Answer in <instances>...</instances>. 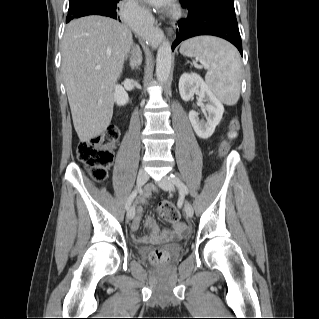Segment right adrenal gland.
<instances>
[{
  "mask_svg": "<svg viewBox=\"0 0 319 319\" xmlns=\"http://www.w3.org/2000/svg\"><path fill=\"white\" fill-rule=\"evenodd\" d=\"M139 52H140L139 47L138 46L134 47L132 45V49L129 54V65L132 70H134L135 68H138V66L141 64V57L139 55Z\"/></svg>",
  "mask_w": 319,
  "mask_h": 319,
  "instance_id": "1",
  "label": "right adrenal gland"
}]
</instances>
